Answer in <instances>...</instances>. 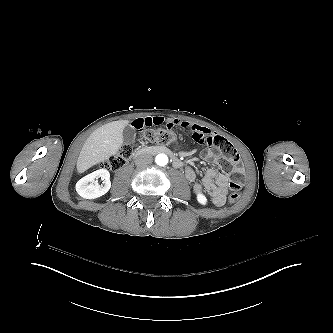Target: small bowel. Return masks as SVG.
I'll list each match as a JSON object with an SVG mask.
<instances>
[{
	"mask_svg": "<svg viewBox=\"0 0 333 333\" xmlns=\"http://www.w3.org/2000/svg\"><path fill=\"white\" fill-rule=\"evenodd\" d=\"M165 122L163 117L160 116H151L139 118L133 121V126L136 128H144L151 126H159ZM168 125L171 127L174 126H186L185 122H182L178 119H171L168 121ZM194 132L207 134V130L202 127H195ZM213 155L212 151H208L206 157H211ZM186 178L194 183V192L196 194H201L205 191L210 197L211 202L215 206H223L226 202V189L229 184V177L225 173L219 172L216 168L212 167L207 169L202 179V182L199 183L196 181V174L194 170L188 166L185 169Z\"/></svg>",
	"mask_w": 333,
	"mask_h": 333,
	"instance_id": "c3829d8e",
	"label": "small bowel"
}]
</instances>
